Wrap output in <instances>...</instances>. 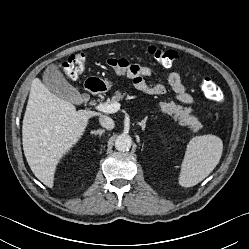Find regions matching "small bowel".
<instances>
[{
	"label": "small bowel",
	"instance_id": "obj_1",
	"mask_svg": "<svg viewBox=\"0 0 249 249\" xmlns=\"http://www.w3.org/2000/svg\"><path fill=\"white\" fill-rule=\"evenodd\" d=\"M117 72L126 74L132 81L134 87L140 91L151 95H162L165 93V87L162 84L152 86L147 83L146 78L151 75V69L147 66H140L128 62V66L124 71ZM168 82L179 102L183 104H191L193 102V96L187 91L178 71L174 70L169 74Z\"/></svg>",
	"mask_w": 249,
	"mask_h": 249
}]
</instances>
